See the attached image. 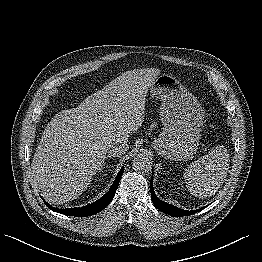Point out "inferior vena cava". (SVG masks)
I'll return each instance as SVG.
<instances>
[{"label":"inferior vena cava","instance_id":"inferior-vena-cava-1","mask_svg":"<svg viewBox=\"0 0 262 262\" xmlns=\"http://www.w3.org/2000/svg\"><path fill=\"white\" fill-rule=\"evenodd\" d=\"M129 146L125 142L114 143L108 147V153L110 156L119 157L125 154Z\"/></svg>","mask_w":262,"mask_h":262}]
</instances>
